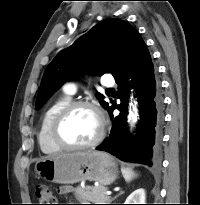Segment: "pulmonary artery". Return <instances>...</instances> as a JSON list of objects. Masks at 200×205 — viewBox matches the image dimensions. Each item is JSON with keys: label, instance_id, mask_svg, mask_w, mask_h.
<instances>
[{"label": "pulmonary artery", "instance_id": "pulmonary-artery-1", "mask_svg": "<svg viewBox=\"0 0 200 205\" xmlns=\"http://www.w3.org/2000/svg\"><path fill=\"white\" fill-rule=\"evenodd\" d=\"M103 85L107 87L113 86L114 80L112 78H105L103 80ZM76 90L77 86L73 82H68L64 85V92L69 96L74 95L76 93Z\"/></svg>", "mask_w": 200, "mask_h": 205}]
</instances>
